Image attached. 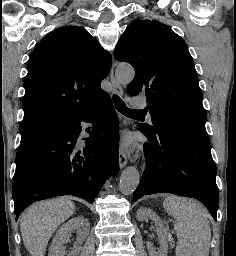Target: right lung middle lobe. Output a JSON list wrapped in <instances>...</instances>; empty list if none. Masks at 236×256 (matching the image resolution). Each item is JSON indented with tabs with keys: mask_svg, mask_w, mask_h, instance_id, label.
<instances>
[{
	"mask_svg": "<svg viewBox=\"0 0 236 256\" xmlns=\"http://www.w3.org/2000/svg\"><path fill=\"white\" fill-rule=\"evenodd\" d=\"M64 121H66V119L53 116L23 120L20 127L21 142H25L56 125L63 123Z\"/></svg>",
	"mask_w": 236,
	"mask_h": 256,
	"instance_id": "right-lung-middle-lobe-1",
	"label": "right lung middle lobe"
}]
</instances>
